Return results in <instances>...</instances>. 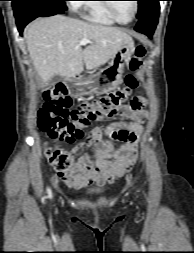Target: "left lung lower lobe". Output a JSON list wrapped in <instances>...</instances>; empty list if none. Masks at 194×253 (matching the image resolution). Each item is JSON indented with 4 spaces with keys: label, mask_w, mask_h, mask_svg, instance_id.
I'll list each match as a JSON object with an SVG mask.
<instances>
[{
    "label": "left lung lower lobe",
    "mask_w": 194,
    "mask_h": 253,
    "mask_svg": "<svg viewBox=\"0 0 194 253\" xmlns=\"http://www.w3.org/2000/svg\"><path fill=\"white\" fill-rule=\"evenodd\" d=\"M159 10V2L154 3L146 10L142 17L138 19L135 29L151 37L158 23Z\"/></svg>",
    "instance_id": "0a47b994"
}]
</instances>
